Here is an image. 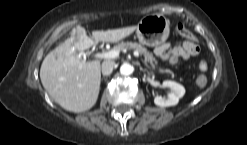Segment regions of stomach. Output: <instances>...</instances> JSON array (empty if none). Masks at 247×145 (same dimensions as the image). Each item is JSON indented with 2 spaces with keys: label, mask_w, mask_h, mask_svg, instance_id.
Returning a JSON list of instances; mask_svg holds the SVG:
<instances>
[{
  "label": "stomach",
  "mask_w": 247,
  "mask_h": 145,
  "mask_svg": "<svg viewBox=\"0 0 247 145\" xmlns=\"http://www.w3.org/2000/svg\"><path fill=\"white\" fill-rule=\"evenodd\" d=\"M170 33V21L162 15L152 14L141 19L136 34L143 45L154 47L164 43Z\"/></svg>",
  "instance_id": "0dacf381"
}]
</instances>
